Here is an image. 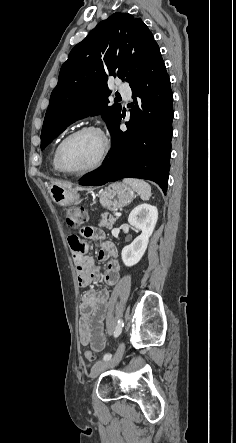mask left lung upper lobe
Segmentation results:
<instances>
[{"label": "left lung upper lobe", "instance_id": "5c2ea615", "mask_svg": "<svg viewBox=\"0 0 236 443\" xmlns=\"http://www.w3.org/2000/svg\"><path fill=\"white\" fill-rule=\"evenodd\" d=\"M157 45L148 27L127 13L101 21L70 52L51 93L41 132V149L73 122L101 114L110 130L121 109L108 106L110 76L132 82Z\"/></svg>", "mask_w": 236, "mask_h": 443}]
</instances>
